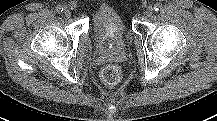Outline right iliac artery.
Returning <instances> with one entry per match:
<instances>
[{"mask_svg": "<svg viewBox=\"0 0 217 121\" xmlns=\"http://www.w3.org/2000/svg\"><path fill=\"white\" fill-rule=\"evenodd\" d=\"M56 11H57L58 13H62V12L64 11L63 6H62V5H58V6L56 7Z\"/></svg>", "mask_w": 217, "mask_h": 121, "instance_id": "obj_1", "label": "right iliac artery"}]
</instances>
